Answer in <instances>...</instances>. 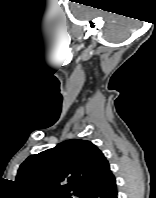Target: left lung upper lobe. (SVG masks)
Instances as JSON below:
<instances>
[{
    "label": "left lung upper lobe",
    "mask_w": 156,
    "mask_h": 198,
    "mask_svg": "<svg viewBox=\"0 0 156 198\" xmlns=\"http://www.w3.org/2000/svg\"><path fill=\"white\" fill-rule=\"evenodd\" d=\"M110 172L107 159L93 143L73 139L29 156L19 167L16 183L27 198H82Z\"/></svg>",
    "instance_id": "1"
}]
</instances>
